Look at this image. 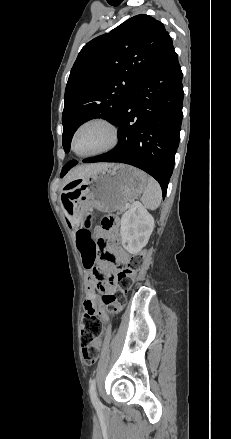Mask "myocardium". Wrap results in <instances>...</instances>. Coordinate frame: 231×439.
<instances>
[{
	"label": "myocardium",
	"instance_id": "obj_1",
	"mask_svg": "<svg viewBox=\"0 0 231 439\" xmlns=\"http://www.w3.org/2000/svg\"><path fill=\"white\" fill-rule=\"evenodd\" d=\"M93 124L101 125L108 130V132H109L108 143L104 147H102L101 149L93 151V152H89V153L77 152L75 149V140H76L77 134L84 127L89 126V125H93ZM119 139H120V134H119V129L116 126V124L113 123L108 118L96 116V117L88 118L76 126V128L74 129V131L71 135L70 148H71L72 152L75 155H77L78 157H81V158L96 157V156H100V155H103V154H106V153L112 151L118 145Z\"/></svg>",
	"mask_w": 231,
	"mask_h": 439
}]
</instances>
